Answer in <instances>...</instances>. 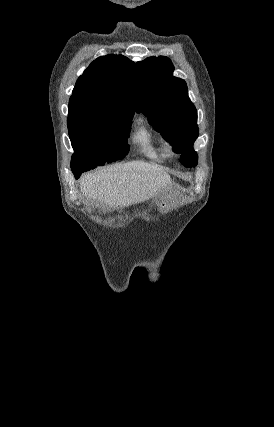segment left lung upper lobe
I'll return each mask as SVG.
<instances>
[{"mask_svg":"<svg viewBox=\"0 0 274 427\" xmlns=\"http://www.w3.org/2000/svg\"><path fill=\"white\" fill-rule=\"evenodd\" d=\"M174 67L165 56L149 57L134 65L130 100L145 114L155 130L181 153L187 167L197 164L193 143L198 137L197 111L188 97L186 82L173 77Z\"/></svg>","mask_w":274,"mask_h":427,"instance_id":"obj_1","label":"left lung upper lobe"}]
</instances>
